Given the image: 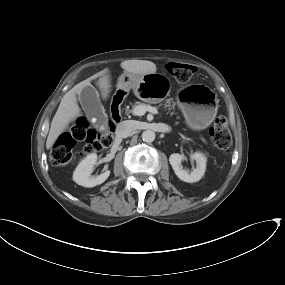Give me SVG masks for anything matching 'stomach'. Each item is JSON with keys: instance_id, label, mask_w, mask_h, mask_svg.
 I'll return each mask as SVG.
<instances>
[{"instance_id": "stomach-1", "label": "stomach", "mask_w": 285, "mask_h": 285, "mask_svg": "<svg viewBox=\"0 0 285 285\" xmlns=\"http://www.w3.org/2000/svg\"><path fill=\"white\" fill-rule=\"evenodd\" d=\"M168 79L160 73L137 76L124 72L118 79L117 89L129 91L149 103L158 101L153 93L166 85ZM177 103L184 114L187 125L193 130H203L210 125L217 113L214 93L206 86L193 84L182 88L177 95Z\"/></svg>"}]
</instances>
